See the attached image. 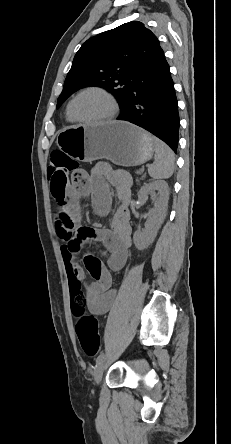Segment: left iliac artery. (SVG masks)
<instances>
[{
    "label": "left iliac artery",
    "instance_id": "44dca946",
    "mask_svg": "<svg viewBox=\"0 0 231 444\" xmlns=\"http://www.w3.org/2000/svg\"><path fill=\"white\" fill-rule=\"evenodd\" d=\"M104 357V353H100V355L96 359V363L98 364Z\"/></svg>",
    "mask_w": 231,
    "mask_h": 444
}]
</instances>
